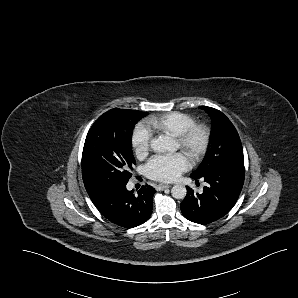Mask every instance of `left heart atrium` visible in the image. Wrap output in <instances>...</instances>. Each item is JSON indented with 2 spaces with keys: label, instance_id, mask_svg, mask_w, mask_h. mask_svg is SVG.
Returning <instances> with one entry per match:
<instances>
[{
  "label": "left heart atrium",
  "instance_id": "left-heart-atrium-1",
  "mask_svg": "<svg viewBox=\"0 0 298 298\" xmlns=\"http://www.w3.org/2000/svg\"><path fill=\"white\" fill-rule=\"evenodd\" d=\"M185 169L183 158L177 153L153 156L145 165L144 173L156 181H171Z\"/></svg>",
  "mask_w": 298,
  "mask_h": 298
}]
</instances>
